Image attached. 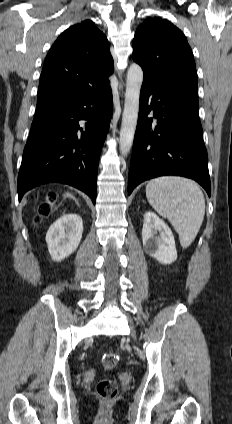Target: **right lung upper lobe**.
Wrapping results in <instances>:
<instances>
[{"label":"right lung upper lobe","mask_w":232,"mask_h":424,"mask_svg":"<svg viewBox=\"0 0 232 424\" xmlns=\"http://www.w3.org/2000/svg\"><path fill=\"white\" fill-rule=\"evenodd\" d=\"M110 44L92 21L64 31L49 50L40 76L37 105L84 98L109 87Z\"/></svg>","instance_id":"obj_1"}]
</instances>
